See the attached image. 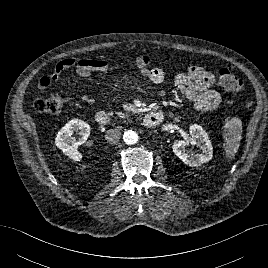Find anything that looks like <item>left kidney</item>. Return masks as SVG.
Returning a JSON list of instances; mask_svg holds the SVG:
<instances>
[{
	"label": "left kidney",
	"mask_w": 268,
	"mask_h": 268,
	"mask_svg": "<svg viewBox=\"0 0 268 268\" xmlns=\"http://www.w3.org/2000/svg\"><path fill=\"white\" fill-rule=\"evenodd\" d=\"M190 141L179 140L173 144V152L183 161L184 164L197 167L209 162L213 157V147L205 130L197 124L191 125L189 128ZM197 144L201 153H190L187 150L189 143Z\"/></svg>",
	"instance_id": "obj_1"
}]
</instances>
